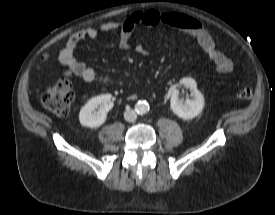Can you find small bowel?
<instances>
[{
  "mask_svg": "<svg viewBox=\"0 0 275 215\" xmlns=\"http://www.w3.org/2000/svg\"><path fill=\"white\" fill-rule=\"evenodd\" d=\"M165 26L178 29L193 37L200 48L207 54L219 73H228L232 70V61L216 48L210 33L201 22L191 16L178 12H162L155 9L137 11L130 14L122 21H111L101 24L98 28H87L72 34L64 49L60 53V61L67 66L73 74L86 82L99 80L103 83L124 84L122 80H116L109 75L99 74L92 66L76 57V50L81 42L86 39H94L100 32L120 30L118 46L122 50L130 48V38L135 27ZM135 51L142 55H148V51L142 45L135 46Z\"/></svg>",
  "mask_w": 275,
  "mask_h": 215,
  "instance_id": "obj_1",
  "label": "small bowel"
}]
</instances>
